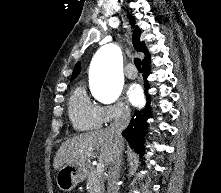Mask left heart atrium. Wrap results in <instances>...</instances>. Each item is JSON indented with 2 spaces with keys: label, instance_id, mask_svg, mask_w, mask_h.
<instances>
[{
  "label": "left heart atrium",
  "instance_id": "39dd6f15",
  "mask_svg": "<svg viewBox=\"0 0 221 193\" xmlns=\"http://www.w3.org/2000/svg\"><path fill=\"white\" fill-rule=\"evenodd\" d=\"M126 97L132 105L134 106L140 105L143 98L140 86L137 84L130 85L129 88L127 89Z\"/></svg>",
  "mask_w": 221,
  "mask_h": 193
}]
</instances>
